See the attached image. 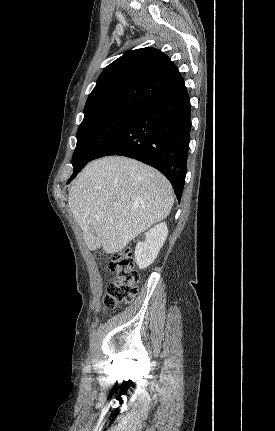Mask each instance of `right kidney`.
Wrapping results in <instances>:
<instances>
[{
    "label": "right kidney",
    "mask_w": 275,
    "mask_h": 431,
    "mask_svg": "<svg viewBox=\"0 0 275 431\" xmlns=\"http://www.w3.org/2000/svg\"><path fill=\"white\" fill-rule=\"evenodd\" d=\"M167 235V225L165 222H162L145 233L146 238L144 242L137 243L135 260L140 269H145L154 262Z\"/></svg>",
    "instance_id": "ca27d5eb"
}]
</instances>
